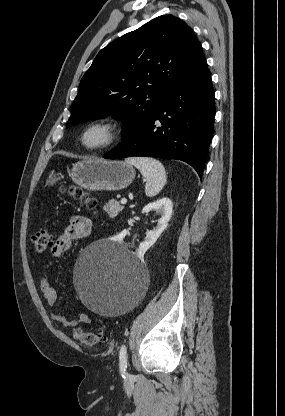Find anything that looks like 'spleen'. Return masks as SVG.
<instances>
[{
    "label": "spleen",
    "mask_w": 285,
    "mask_h": 416,
    "mask_svg": "<svg viewBox=\"0 0 285 416\" xmlns=\"http://www.w3.org/2000/svg\"><path fill=\"white\" fill-rule=\"evenodd\" d=\"M126 164H131L146 178L145 194L148 198L157 196L166 184V172L163 164L154 158H126Z\"/></svg>",
    "instance_id": "3e777b00"
}]
</instances>
